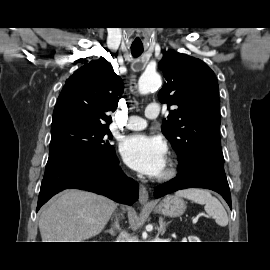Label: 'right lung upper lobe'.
Masks as SVG:
<instances>
[{"instance_id":"obj_1","label":"right lung upper lobe","mask_w":270,"mask_h":270,"mask_svg":"<svg viewBox=\"0 0 270 270\" xmlns=\"http://www.w3.org/2000/svg\"><path fill=\"white\" fill-rule=\"evenodd\" d=\"M123 89L121 78L104 58L84 65L67 79L51 127L71 122L108 127L112 119L106 112L116 109Z\"/></svg>"}]
</instances>
